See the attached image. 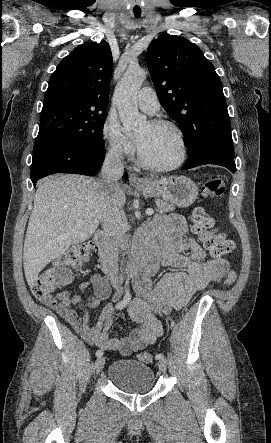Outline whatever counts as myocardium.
I'll return each instance as SVG.
<instances>
[{
	"instance_id": "myocardium-1",
	"label": "myocardium",
	"mask_w": 271,
	"mask_h": 443,
	"mask_svg": "<svg viewBox=\"0 0 271 443\" xmlns=\"http://www.w3.org/2000/svg\"><path fill=\"white\" fill-rule=\"evenodd\" d=\"M152 126H167L172 128L178 135L181 144V154L177 161L169 165H157L149 162L140 149H138V160L141 166L155 172H167L182 166L188 158V142L182 128L176 123L166 119H153L148 122Z\"/></svg>"
}]
</instances>
